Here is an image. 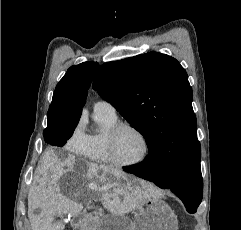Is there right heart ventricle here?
Segmentation results:
<instances>
[{
    "instance_id": "e07e8e85",
    "label": "right heart ventricle",
    "mask_w": 241,
    "mask_h": 230,
    "mask_svg": "<svg viewBox=\"0 0 241 230\" xmlns=\"http://www.w3.org/2000/svg\"><path fill=\"white\" fill-rule=\"evenodd\" d=\"M94 117L100 129L88 135L86 147L81 155L92 162L111 163L106 151L105 138L107 131L117 122V116L95 112Z\"/></svg>"
}]
</instances>
